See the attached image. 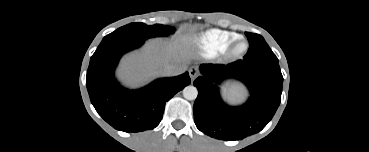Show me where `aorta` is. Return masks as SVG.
<instances>
[{
  "label": "aorta",
  "instance_id": "762f6f07",
  "mask_svg": "<svg viewBox=\"0 0 369 152\" xmlns=\"http://www.w3.org/2000/svg\"><path fill=\"white\" fill-rule=\"evenodd\" d=\"M198 95V90L195 86L189 85L183 89V96L187 100H195Z\"/></svg>",
  "mask_w": 369,
  "mask_h": 152
}]
</instances>
